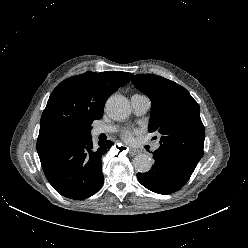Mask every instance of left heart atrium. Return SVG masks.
<instances>
[{
  "label": "left heart atrium",
  "instance_id": "left-heart-atrium-1",
  "mask_svg": "<svg viewBox=\"0 0 248 248\" xmlns=\"http://www.w3.org/2000/svg\"><path fill=\"white\" fill-rule=\"evenodd\" d=\"M133 136H134V132L132 131H127L123 134V138L128 142L133 141Z\"/></svg>",
  "mask_w": 248,
  "mask_h": 248
}]
</instances>
